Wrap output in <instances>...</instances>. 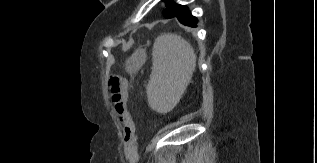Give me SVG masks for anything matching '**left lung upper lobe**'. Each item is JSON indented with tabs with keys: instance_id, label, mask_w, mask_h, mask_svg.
<instances>
[{
	"instance_id": "5c2ea615",
	"label": "left lung upper lobe",
	"mask_w": 317,
	"mask_h": 163,
	"mask_svg": "<svg viewBox=\"0 0 317 163\" xmlns=\"http://www.w3.org/2000/svg\"><path fill=\"white\" fill-rule=\"evenodd\" d=\"M166 6H167V9L164 11V16L168 18L170 16L175 15L182 5L175 4L171 2L170 0H166Z\"/></svg>"
}]
</instances>
